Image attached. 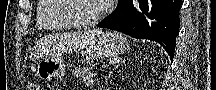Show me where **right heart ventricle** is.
I'll return each mask as SVG.
<instances>
[{"label":"right heart ventricle","instance_id":"1","mask_svg":"<svg viewBox=\"0 0 216 90\" xmlns=\"http://www.w3.org/2000/svg\"><path fill=\"white\" fill-rule=\"evenodd\" d=\"M40 6L35 7L37 13L36 25L38 29H68V20H64L63 14H57L63 0H38ZM46 16V17H44Z\"/></svg>","mask_w":216,"mask_h":90}]
</instances>
